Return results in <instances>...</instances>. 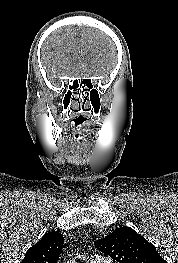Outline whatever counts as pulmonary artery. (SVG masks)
Returning <instances> with one entry per match:
<instances>
[{"mask_svg":"<svg viewBox=\"0 0 178 263\" xmlns=\"http://www.w3.org/2000/svg\"><path fill=\"white\" fill-rule=\"evenodd\" d=\"M90 262H95V263H110L109 260L104 258L103 256L100 255H94L89 259Z\"/></svg>","mask_w":178,"mask_h":263,"instance_id":"pulmonary-artery-1","label":"pulmonary artery"}]
</instances>
